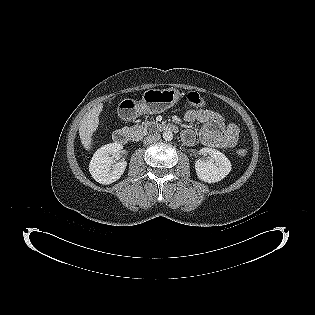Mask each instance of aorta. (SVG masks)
Segmentation results:
<instances>
[{"label": "aorta", "mask_w": 315, "mask_h": 315, "mask_svg": "<svg viewBox=\"0 0 315 315\" xmlns=\"http://www.w3.org/2000/svg\"><path fill=\"white\" fill-rule=\"evenodd\" d=\"M163 138L165 141H171L173 139V134L171 131H165L163 133Z\"/></svg>", "instance_id": "762f6f07"}]
</instances>
